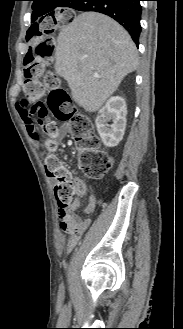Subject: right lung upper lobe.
<instances>
[{"mask_svg": "<svg viewBox=\"0 0 183 329\" xmlns=\"http://www.w3.org/2000/svg\"><path fill=\"white\" fill-rule=\"evenodd\" d=\"M33 12L32 22L38 18H43L44 15H51L57 7H69L70 2L73 0H32ZM40 19V20H41Z\"/></svg>", "mask_w": 183, "mask_h": 329, "instance_id": "right-lung-upper-lobe-1", "label": "right lung upper lobe"}]
</instances>
